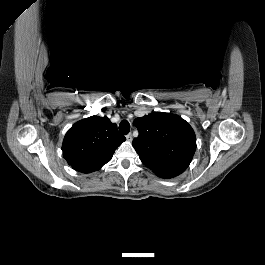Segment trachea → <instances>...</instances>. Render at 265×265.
Instances as JSON below:
<instances>
[{
	"instance_id": "trachea-1",
	"label": "trachea",
	"mask_w": 265,
	"mask_h": 265,
	"mask_svg": "<svg viewBox=\"0 0 265 265\" xmlns=\"http://www.w3.org/2000/svg\"><path fill=\"white\" fill-rule=\"evenodd\" d=\"M119 131L123 135H127L130 132V124L127 120H122L119 125Z\"/></svg>"
}]
</instances>
